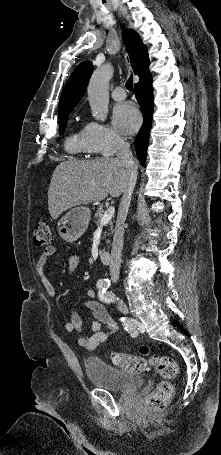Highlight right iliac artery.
Instances as JSON below:
<instances>
[{
    "label": "right iliac artery",
    "mask_w": 221,
    "mask_h": 455,
    "mask_svg": "<svg viewBox=\"0 0 221 455\" xmlns=\"http://www.w3.org/2000/svg\"><path fill=\"white\" fill-rule=\"evenodd\" d=\"M97 287L99 289L105 290V289H107L108 286H107V284H105L103 282H99L97 284ZM122 321L124 322V324H123L124 330L127 334H129L130 337H133V338L139 337V332H137L135 325L131 324V321H129L125 318H123Z\"/></svg>",
    "instance_id": "82829eb1"
}]
</instances>
